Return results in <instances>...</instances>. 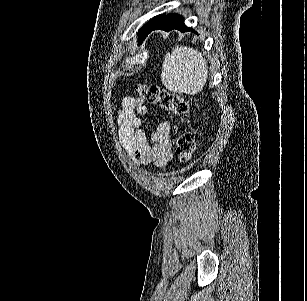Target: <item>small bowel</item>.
I'll return each instance as SVG.
<instances>
[{"label": "small bowel", "mask_w": 307, "mask_h": 301, "mask_svg": "<svg viewBox=\"0 0 307 301\" xmlns=\"http://www.w3.org/2000/svg\"><path fill=\"white\" fill-rule=\"evenodd\" d=\"M147 114L145 100L125 97L117 114L119 136L130 159L138 165L154 164L161 168L172 158L171 124L162 120L148 136L142 128L141 116Z\"/></svg>", "instance_id": "c3829d8e"}]
</instances>
